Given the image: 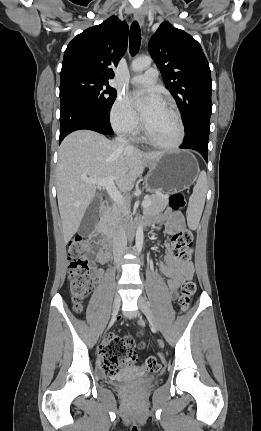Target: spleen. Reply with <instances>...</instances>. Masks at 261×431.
<instances>
[{
	"label": "spleen",
	"mask_w": 261,
	"mask_h": 431,
	"mask_svg": "<svg viewBox=\"0 0 261 431\" xmlns=\"http://www.w3.org/2000/svg\"><path fill=\"white\" fill-rule=\"evenodd\" d=\"M207 191V176L206 172L202 171L199 174L196 185L193 188V193L189 199V211L194 216H201Z\"/></svg>",
	"instance_id": "3e777b00"
}]
</instances>
